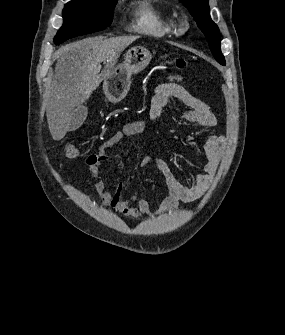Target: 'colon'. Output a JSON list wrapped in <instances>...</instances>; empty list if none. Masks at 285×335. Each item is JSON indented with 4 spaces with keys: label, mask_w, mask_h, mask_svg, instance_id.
Returning a JSON list of instances; mask_svg holds the SVG:
<instances>
[{
    "label": "colon",
    "mask_w": 285,
    "mask_h": 335,
    "mask_svg": "<svg viewBox=\"0 0 285 335\" xmlns=\"http://www.w3.org/2000/svg\"><path fill=\"white\" fill-rule=\"evenodd\" d=\"M169 62L173 68L178 70H183L188 66L187 60L181 57H171ZM78 154H79V148L77 145L70 144L67 146L66 148L67 157L75 158L78 156Z\"/></svg>",
    "instance_id": "obj_1"
}]
</instances>
